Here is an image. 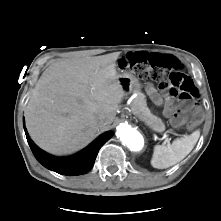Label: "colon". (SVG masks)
Segmentation results:
<instances>
[{"mask_svg": "<svg viewBox=\"0 0 221 221\" xmlns=\"http://www.w3.org/2000/svg\"><path fill=\"white\" fill-rule=\"evenodd\" d=\"M144 57L142 53L129 54L120 59L119 65L131 74L158 82L170 95L179 96L182 105L174 115V122H186L187 129H194L201 118L191 114L190 106L198 91L192 79L183 72L180 61L172 55L159 53L149 54L146 62Z\"/></svg>", "mask_w": 221, "mask_h": 221, "instance_id": "5ec220e1", "label": "colon"}]
</instances>
